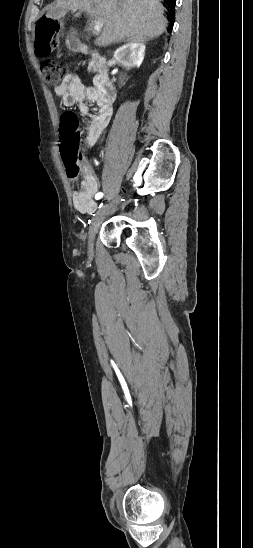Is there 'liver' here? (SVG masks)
Segmentation results:
<instances>
[{
    "instance_id": "liver-1",
    "label": "liver",
    "mask_w": 253,
    "mask_h": 548,
    "mask_svg": "<svg viewBox=\"0 0 253 548\" xmlns=\"http://www.w3.org/2000/svg\"><path fill=\"white\" fill-rule=\"evenodd\" d=\"M99 17L103 23L95 44L105 47L122 41L145 42L159 37L167 27L159 0H56L46 18L62 19L69 11Z\"/></svg>"
}]
</instances>
